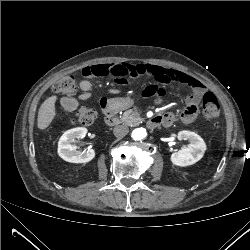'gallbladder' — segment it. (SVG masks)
Wrapping results in <instances>:
<instances>
[{
    "instance_id": "gallbladder-1",
    "label": "gallbladder",
    "mask_w": 250,
    "mask_h": 250,
    "mask_svg": "<svg viewBox=\"0 0 250 250\" xmlns=\"http://www.w3.org/2000/svg\"><path fill=\"white\" fill-rule=\"evenodd\" d=\"M62 106L68 111H74L77 109L78 104L75 101L64 99V101L62 102Z\"/></svg>"
}]
</instances>
